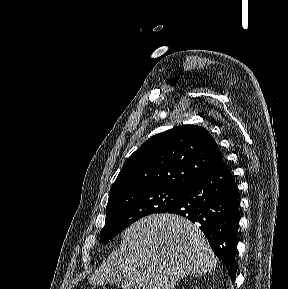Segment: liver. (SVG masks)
Listing matches in <instances>:
<instances>
[{
	"instance_id": "liver-1",
	"label": "liver",
	"mask_w": 288,
	"mask_h": 289,
	"mask_svg": "<svg viewBox=\"0 0 288 289\" xmlns=\"http://www.w3.org/2000/svg\"><path fill=\"white\" fill-rule=\"evenodd\" d=\"M217 258L196 224L152 214L129 226L118 249L89 277L94 286L123 275V289H172L182 278L211 271Z\"/></svg>"
}]
</instances>
